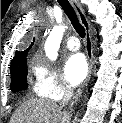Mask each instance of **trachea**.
Instances as JSON below:
<instances>
[{
    "mask_svg": "<svg viewBox=\"0 0 122 123\" xmlns=\"http://www.w3.org/2000/svg\"><path fill=\"white\" fill-rule=\"evenodd\" d=\"M58 3L61 5L62 9L70 19L74 29L79 34L81 38L85 37V29L84 27L79 23L78 18L76 16V13L70 3L67 0H58Z\"/></svg>",
    "mask_w": 122,
    "mask_h": 123,
    "instance_id": "1",
    "label": "trachea"
}]
</instances>
